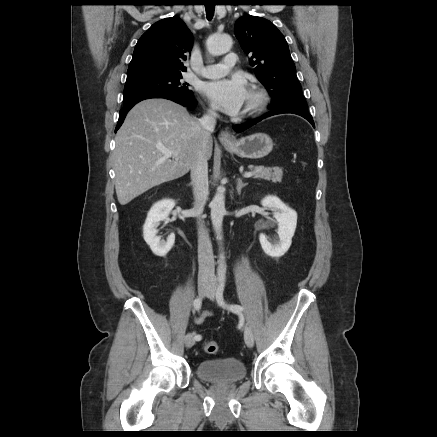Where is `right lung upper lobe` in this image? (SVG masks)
Listing matches in <instances>:
<instances>
[{
  "instance_id": "cb5924a9",
  "label": "right lung upper lobe",
  "mask_w": 437,
  "mask_h": 437,
  "mask_svg": "<svg viewBox=\"0 0 437 437\" xmlns=\"http://www.w3.org/2000/svg\"><path fill=\"white\" fill-rule=\"evenodd\" d=\"M192 44L193 36L180 18L162 19L139 38L127 73L186 71L183 61Z\"/></svg>"
}]
</instances>
